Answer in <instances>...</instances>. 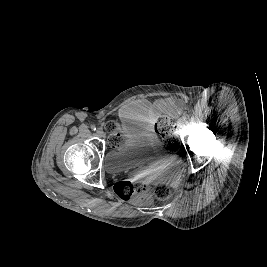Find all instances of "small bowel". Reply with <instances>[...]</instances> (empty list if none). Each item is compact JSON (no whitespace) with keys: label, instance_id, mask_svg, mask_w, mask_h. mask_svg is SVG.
Wrapping results in <instances>:
<instances>
[{"label":"small bowel","instance_id":"small-bowel-1","mask_svg":"<svg viewBox=\"0 0 267 267\" xmlns=\"http://www.w3.org/2000/svg\"><path fill=\"white\" fill-rule=\"evenodd\" d=\"M171 105L173 109L176 111L180 110L181 108L180 105L175 104V103H172ZM153 124H154V119H152L150 123L142 131L137 132V134H144L146 136L152 137L153 136V127H152Z\"/></svg>","mask_w":267,"mask_h":267}]
</instances>
